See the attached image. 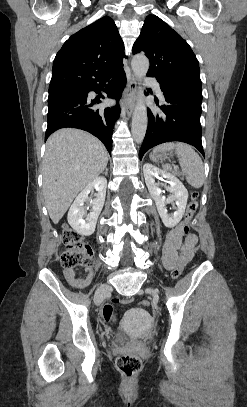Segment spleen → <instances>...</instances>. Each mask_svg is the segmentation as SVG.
<instances>
[{
	"label": "spleen",
	"instance_id": "obj_1",
	"mask_svg": "<svg viewBox=\"0 0 247 407\" xmlns=\"http://www.w3.org/2000/svg\"><path fill=\"white\" fill-rule=\"evenodd\" d=\"M175 149L179 155V163L183 174L186 175V181L194 188H201L204 184V167L200 156L194 149L181 142H168L158 145L153 152L168 151ZM166 170H171L168 164L163 165Z\"/></svg>",
	"mask_w": 247,
	"mask_h": 407
}]
</instances>
